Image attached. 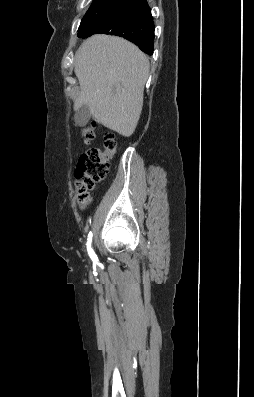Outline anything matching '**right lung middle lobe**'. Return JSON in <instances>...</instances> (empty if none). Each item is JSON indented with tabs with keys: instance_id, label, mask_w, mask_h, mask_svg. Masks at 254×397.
I'll return each instance as SVG.
<instances>
[{
	"instance_id": "obj_1",
	"label": "right lung middle lobe",
	"mask_w": 254,
	"mask_h": 397,
	"mask_svg": "<svg viewBox=\"0 0 254 397\" xmlns=\"http://www.w3.org/2000/svg\"><path fill=\"white\" fill-rule=\"evenodd\" d=\"M105 1L106 0H94L91 7L83 17L79 28L85 25L98 12Z\"/></svg>"
}]
</instances>
